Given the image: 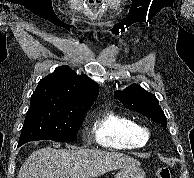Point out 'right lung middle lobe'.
Here are the masks:
<instances>
[{
	"label": "right lung middle lobe",
	"instance_id": "obj_1",
	"mask_svg": "<svg viewBox=\"0 0 194 178\" xmlns=\"http://www.w3.org/2000/svg\"><path fill=\"white\" fill-rule=\"evenodd\" d=\"M86 112L62 108L48 101H30L19 143L44 139L75 141Z\"/></svg>",
	"mask_w": 194,
	"mask_h": 178
}]
</instances>
